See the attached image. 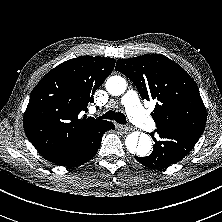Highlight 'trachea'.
Returning <instances> with one entry per match:
<instances>
[{
	"instance_id": "1",
	"label": "trachea",
	"mask_w": 222,
	"mask_h": 222,
	"mask_svg": "<svg viewBox=\"0 0 222 222\" xmlns=\"http://www.w3.org/2000/svg\"><path fill=\"white\" fill-rule=\"evenodd\" d=\"M99 118L108 119V120H115L117 123L122 124V125L126 124V122H127L126 117L123 113L115 112L113 110L106 112L105 114H103Z\"/></svg>"
}]
</instances>
